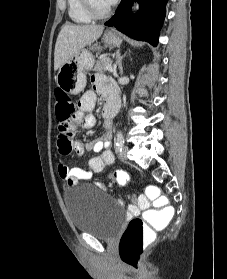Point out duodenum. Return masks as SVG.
Here are the masks:
<instances>
[{
	"label": "duodenum",
	"instance_id": "410a0bca",
	"mask_svg": "<svg viewBox=\"0 0 227 279\" xmlns=\"http://www.w3.org/2000/svg\"><path fill=\"white\" fill-rule=\"evenodd\" d=\"M118 112V104L114 100H108L104 107V116L109 119Z\"/></svg>",
	"mask_w": 227,
	"mask_h": 279
}]
</instances>
